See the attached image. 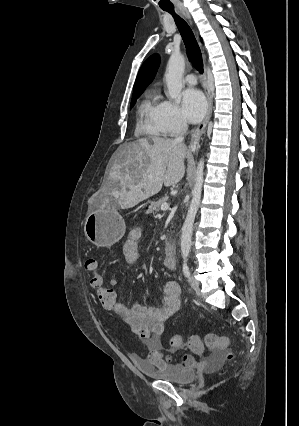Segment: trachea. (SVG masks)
<instances>
[{
    "label": "trachea",
    "instance_id": "1",
    "mask_svg": "<svg viewBox=\"0 0 299 426\" xmlns=\"http://www.w3.org/2000/svg\"><path fill=\"white\" fill-rule=\"evenodd\" d=\"M164 11H167L170 13L174 21L176 23V26L182 36L183 42L185 44L188 57L194 67L200 72H203V61H202V55L199 48V45L195 39V36L189 27V25L179 16L175 13L174 8H167L163 9Z\"/></svg>",
    "mask_w": 299,
    "mask_h": 426
}]
</instances>
